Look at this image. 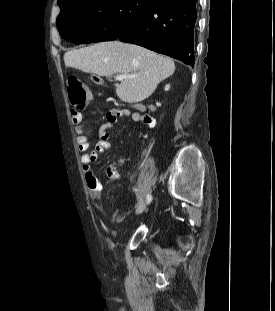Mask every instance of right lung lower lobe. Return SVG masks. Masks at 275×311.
I'll return each instance as SVG.
<instances>
[{
	"instance_id": "obj_1",
	"label": "right lung lower lobe",
	"mask_w": 275,
	"mask_h": 311,
	"mask_svg": "<svg viewBox=\"0 0 275 311\" xmlns=\"http://www.w3.org/2000/svg\"><path fill=\"white\" fill-rule=\"evenodd\" d=\"M196 1L159 0L129 23L117 38L193 67Z\"/></svg>"
}]
</instances>
